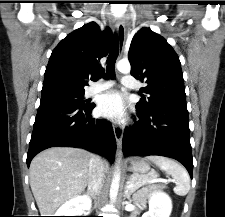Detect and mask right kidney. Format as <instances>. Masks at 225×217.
I'll return each instance as SVG.
<instances>
[{
	"mask_svg": "<svg viewBox=\"0 0 225 217\" xmlns=\"http://www.w3.org/2000/svg\"><path fill=\"white\" fill-rule=\"evenodd\" d=\"M91 205V199L88 196H78L63 204L55 216H81L91 209Z\"/></svg>",
	"mask_w": 225,
	"mask_h": 217,
	"instance_id": "1",
	"label": "right kidney"
}]
</instances>
